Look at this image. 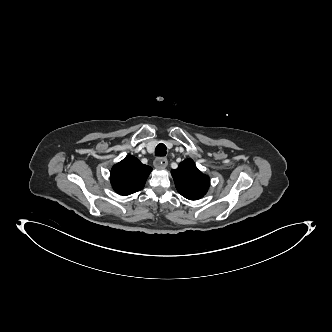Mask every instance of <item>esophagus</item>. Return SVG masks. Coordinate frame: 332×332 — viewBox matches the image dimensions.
<instances>
[{"label": "esophagus", "mask_w": 332, "mask_h": 332, "mask_svg": "<svg viewBox=\"0 0 332 332\" xmlns=\"http://www.w3.org/2000/svg\"><path fill=\"white\" fill-rule=\"evenodd\" d=\"M168 165V160L163 157H158L154 161V166L158 169H164Z\"/></svg>", "instance_id": "obj_1"}]
</instances>
